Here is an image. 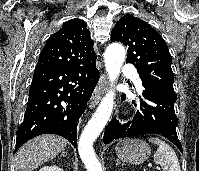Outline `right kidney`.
I'll return each instance as SVG.
<instances>
[{
    "instance_id": "right-kidney-1",
    "label": "right kidney",
    "mask_w": 199,
    "mask_h": 171,
    "mask_svg": "<svg viewBox=\"0 0 199 171\" xmlns=\"http://www.w3.org/2000/svg\"><path fill=\"white\" fill-rule=\"evenodd\" d=\"M39 171H63L60 167L53 165V166H44Z\"/></svg>"
}]
</instances>
